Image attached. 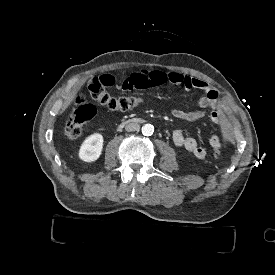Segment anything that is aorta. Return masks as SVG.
<instances>
[{
	"mask_svg": "<svg viewBox=\"0 0 275 275\" xmlns=\"http://www.w3.org/2000/svg\"><path fill=\"white\" fill-rule=\"evenodd\" d=\"M141 132L144 136H151L154 132V127L151 124H145L142 127Z\"/></svg>",
	"mask_w": 275,
	"mask_h": 275,
	"instance_id": "aorta-1",
	"label": "aorta"
}]
</instances>
